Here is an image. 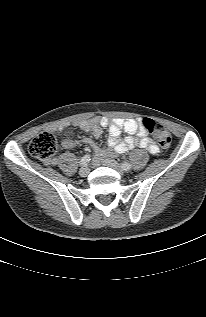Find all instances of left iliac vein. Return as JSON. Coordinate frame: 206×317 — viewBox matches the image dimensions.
Wrapping results in <instances>:
<instances>
[{
  "mask_svg": "<svg viewBox=\"0 0 206 317\" xmlns=\"http://www.w3.org/2000/svg\"><path fill=\"white\" fill-rule=\"evenodd\" d=\"M103 164L115 169L121 175L124 174V169L115 160L107 158L103 160Z\"/></svg>",
  "mask_w": 206,
  "mask_h": 317,
  "instance_id": "obj_1",
  "label": "left iliac vein"
}]
</instances>
